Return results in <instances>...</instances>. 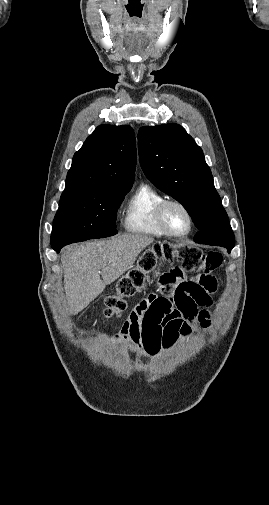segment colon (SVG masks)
I'll return each mask as SVG.
<instances>
[{
  "instance_id": "5ec220e1",
  "label": "colon",
  "mask_w": 269,
  "mask_h": 505,
  "mask_svg": "<svg viewBox=\"0 0 269 505\" xmlns=\"http://www.w3.org/2000/svg\"><path fill=\"white\" fill-rule=\"evenodd\" d=\"M162 260L179 262L180 267L173 269V272L177 269H184L186 274H200L204 269L207 273L216 271L221 266L223 258L217 251H204L187 244L155 245L146 250L140 256L137 265L120 279L116 293L106 298L105 316L108 318L119 317L126 308L125 299L144 289L148 274ZM137 307H142L141 303Z\"/></svg>"
}]
</instances>
